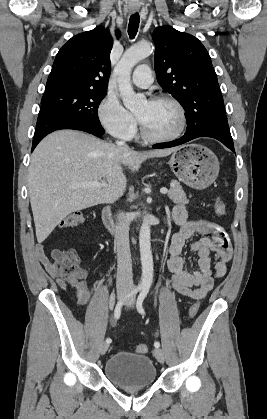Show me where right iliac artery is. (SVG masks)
<instances>
[{
	"label": "right iliac artery",
	"instance_id": "1",
	"mask_svg": "<svg viewBox=\"0 0 267 419\" xmlns=\"http://www.w3.org/2000/svg\"><path fill=\"white\" fill-rule=\"evenodd\" d=\"M141 290V287H136L134 288L131 292H129L127 295H125V297H123L121 300H119V302L117 303L116 307H115V311H114V317L115 319H119L120 315H121V309L122 306L124 304V302L129 299L130 297H132L133 295H135L138 291ZM111 338H107L106 342L109 344L111 343Z\"/></svg>",
	"mask_w": 267,
	"mask_h": 419
}]
</instances>
